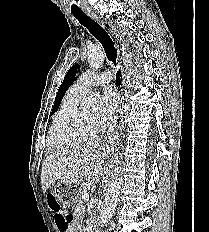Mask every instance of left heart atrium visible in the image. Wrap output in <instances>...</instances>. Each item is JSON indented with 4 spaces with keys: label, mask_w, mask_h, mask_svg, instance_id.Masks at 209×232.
<instances>
[{
    "label": "left heart atrium",
    "mask_w": 209,
    "mask_h": 232,
    "mask_svg": "<svg viewBox=\"0 0 209 232\" xmlns=\"http://www.w3.org/2000/svg\"><path fill=\"white\" fill-rule=\"evenodd\" d=\"M119 100L118 93L113 87H106L100 97L101 117L105 121L116 109Z\"/></svg>",
    "instance_id": "obj_1"
}]
</instances>
